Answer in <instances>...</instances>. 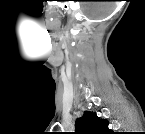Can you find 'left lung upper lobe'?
Returning a JSON list of instances; mask_svg holds the SVG:
<instances>
[{
	"label": "left lung upper lobe",
	"instance_id": "1",
	"mask_svg": "<svg viewBox=\"0 0 145 134\" xmlns=\"http://www.w3.org/2000/svg\"><path fill=\"white\" fill-rule=\"evenodd\" d=\"M108 121L101 120L96 113L85 111L75 123V134H111Z\"/></svg>",
	"mask_w": 145,
	"mask_h": 134
}]
</instances>
